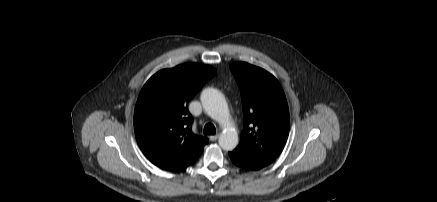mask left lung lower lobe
Returning <instances> with one entry per match:
<instances>
[{
	"mask_svg": "<svg viewBox=\"0 0 437 202\" xmlns=\"http://www.w3.org/2000/svg\"><path fill=\"white\" fill-rule=\"evenodd\" d=\"M229 156L231 161L237 165L238 167H241L243 169H247V170H259L262 167L255 165L253 163H251L250 161L244 159L243 157H241L240 155L233 153V152H229Z\"/></svg>",
	"mask_w": 437,
	"mask_h": 202,
	"instance_id": "obj_1",
	"label": "left lung lower lobe"
}]
</instances>
